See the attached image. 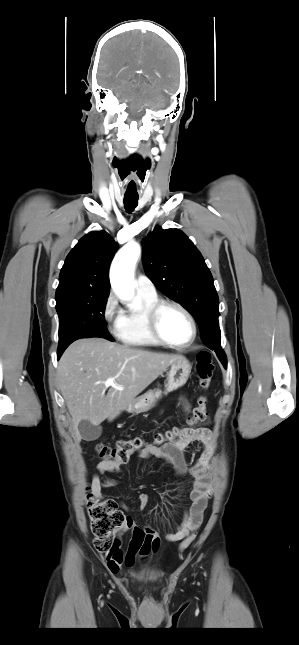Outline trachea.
Instances as JSON below:
<instances>
[{
    "mask_svg": "<svg viewBox=\"0 0 299 645\" xmlns=\"http://www.w3.org/2000/svg\"><path fill=\"white\" fill-rule=\"evenodd\" d=\"M138 196H125L124 207L127 212H132L138 205Z\"/></svg>",
    "mask_w": 299,
    "mask_h": 645,
    "instance_id": "obj_1",
    "label": "trachea"
}]
</instances>
